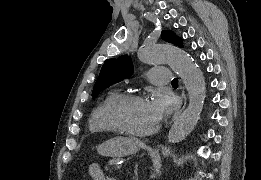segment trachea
I'll return each mask as SVG.
<instances>
[{"instance_id": "trachea-1", "label": "trachea", "mask_w": 261, "mask_h": 180, "mask_svg": "<svg viewBox=\"0 0 261 180\" xmlns=\"http://www.w3.org/2000/svg\"><path fill=\"white\" fill-rule=\"evenodd\" d=\"M171 84H178V79L177 78H173Z\"/></svg>"}]
</instances>
